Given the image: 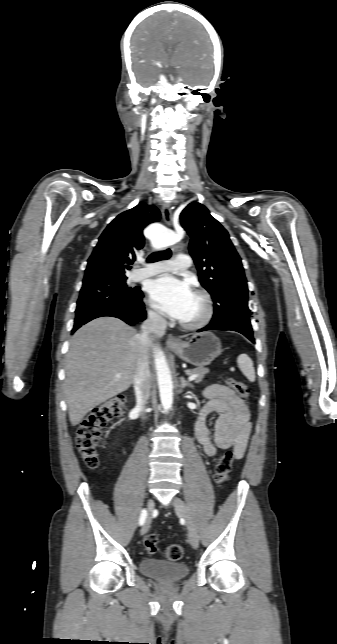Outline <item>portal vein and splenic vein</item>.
Returning a JSON list of instances; mask_svg holds the SVG:
<instances>
[{
	"label": "portal vein and splenic vein",
	"mask_w": 337,
	"mask_h": 644,
	"mask_svg": "<svg viewBox=\"0 0 337 644\" xmlns=\"http://www.w3.org/2000/svg\"><path fill=\"white\" fill-rule=\"evenodd\" d=\"M198 376H199V375L194 374V375L189 376V378H188V379H189V381H193V380H195ZM116 377H117V378H120L121 376H120V375H116Z\"/></svg>",
	"instance_id": "portal-vein-and-splenic-vein-1"
}]
</instances>
